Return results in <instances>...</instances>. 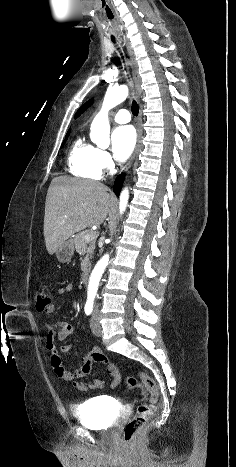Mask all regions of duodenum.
Masks as SVG:
<instances>
[{
  "label": "duodenum",
  "instance_id": "duodenum-1",
  "mask_svg": "<svg viewBox=\"0 0 236 467\" xmlns=\"http://www.w3.org/2000/svg\"><path fill=\"white\" fill-rule=\"evenodd\" d=\"M89 268H85L83 271H82V274H81V282L82 283H87L88 282V279H89Z\"/></svg>",
  "mask_w": 236,
  "mask_h": 467
}]
</instances>
